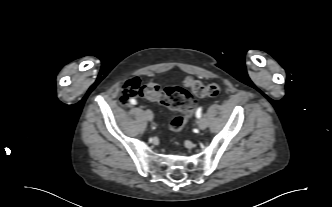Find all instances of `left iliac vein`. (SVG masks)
<instances>
[{
  "label": "left iliac vein",
  "mask_w": 332,
  "mask_h": 207,
  "mask_svg": "<svg viewBox=\"0 0 332 207\" xmlns=\"http://www.w3.org/2000/svg\"><path fill=\"white\" fill-rule=\"evenodd\" d=\"M208 125L207 119L205 117L198 120V127L201 130H204Z\"/></svg>",
  "instance_id": "obj_1"
}]
</instances>
